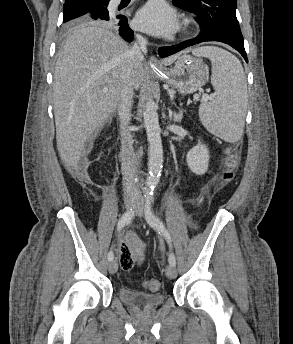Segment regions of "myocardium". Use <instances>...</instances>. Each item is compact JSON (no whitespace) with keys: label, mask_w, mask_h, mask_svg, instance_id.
Instances as JSON below:
<instances>
[{"label":"myocardium","mask_w":293,"mask_h":344,"mask_svg":"<svg viewBox=\"0 0 293 344\" xmlns=\"http://www.w3.org/2000/svg\"><path fill=\"white\" fill-rule=\"evenodd\" d=\"M187 28H189V26ZM185 33L189 34L190 33L189 29H187Z\"/></svg>","instance_id":"myocardium-1"}]
</instances>
